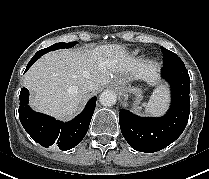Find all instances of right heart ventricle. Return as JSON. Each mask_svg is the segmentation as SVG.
<instances>
[{
	"label": "right heart ventricle",
	"instance_id": "1",
	"mask_svg": "<svg viewBox=\"0 0 209 179\" xmlns=\"http://www.w3.org/2000/svg\"><path fill=\"white\" fill-rule=\"evenodd\" d=\"M139 52V50H134L133 54H137Z\"/></svg>",
	"mask_w": 209,
	"mask_h": 179
}]
</instances>
